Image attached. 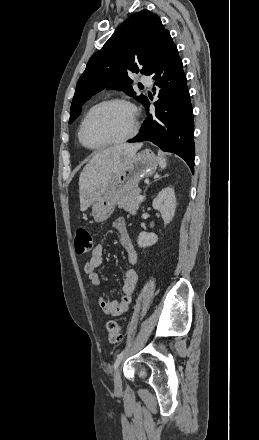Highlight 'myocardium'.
Here are the masks:
<instances>
[{
    "label": "myocardium",
    "mask_w": 259,
    "mask_h": 440,
    "mask_svg": "<svg viewBox=\"0 0 259 440\" xmlns=\"http://www.w3.org/2000/svg\"><path fill=\"white\" fill-rule=\"evenodd\" d=\"M111 104H122V105H125L129 108L131 115H132L131 130L124 137L117 139V140H114V141H110V142L103 143L100 145H95V146L88 144L85 140V137H84V130H85L86 123L88 122L89 118L92 116V114L95 111H97L98 109H100L104 106L111 105ZM139 128H140L139 115H138V111H137V108L135 107V105L125 98L116 97V98H110V99L103 100V101L95 104L93 107H91L88 110V112L85 114V116L79 126L78 137H79L80 143L85 148L90 149V150H100V149H103V148H106L109 146L119 145V144H122V143H125V142L131 140L132 138H134L137 135V133L139 132Z\"/></svg>",
    "instance_id": "myocardium-1"
}]
</instances>
